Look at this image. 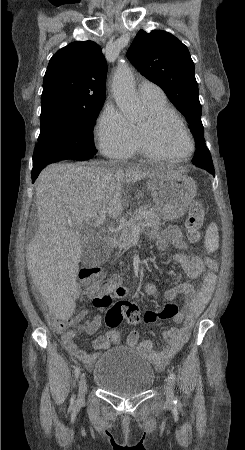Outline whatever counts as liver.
<instances>
[{
    "label": "liver",
    "instance_id": "6515ba94",
    "mask_svg": "<svg viewBox=\"0 0 245 450\" xmlns=\"http://www.w3.org/2000/svg\"><path fill=\"white\" fill-rule=\"evenodd\" d=\"M165 169H119L58 163L39 175L36 208L39 229L26 252L27 268L50 311L66 318L75 310L76 276L82 255L84 224L101 209L109 217L126 208L125 184L155 176ZM72 224V227L70 226Z\"/></svg>",
    "mask_w": 245,
    "mask_h": 450
}]
</instances>
